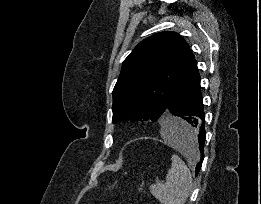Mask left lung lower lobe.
<instances>
[{
	"label": "left lung lower lobe",
	"mask_w": 261,
	"mask_h": 204,
	"mask_svg": "<svg viewBox=\"0 0 261 204\" xmlns=\"http://www.w3.org/2000/svg\"><path fill=\"white\" fill-rule=\"evenodd\" d=\"M171 114L180 117L183 121L182 123L169 122V131L176 139L188 143L196 138L198 150L201 153V159L196 165L195 175L197 176L204 158L206 132L200 75L195 59L169 101L166 118L170 119ZM188 152L195 154V149L189 147Z\"/></svg>",
	"instance_id": "obj_1"
}]
</instances>
